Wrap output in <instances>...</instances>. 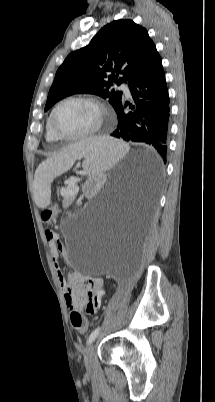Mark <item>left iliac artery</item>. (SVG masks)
Wrapping results in <instances>:
<instances>
[{
	"label": "left iliac artery",
	"mask_w": 215,
	"mask_h": 402,
	"mask_svg": "<svg viewBox=\"0 0 215 402\" xmlns=\"http://www.w3.org/2000/svg\"><path fill=\"white\" fill-rule=\"evenodd\" d=\"M99 332H100V327H97L96 329H94L92 331V333L90 334V336L87 340V343L88 344L92 343L95 340V338L97 337V335L99 334Z\"/></svg>",
	"instance_id": "left-iliac-artery-1"
}]
</instances>
